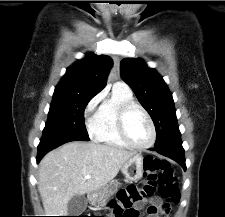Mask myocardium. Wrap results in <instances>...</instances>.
I'll return each instance as SVG.
<instances>
[{
	"instance_id": "myocardium-1",
	"label": "myocardium",
	"mask_w": 225,
	"mask_h": 217,
	"mask_svg": "<svg viewBox=\"0 0 225 217\" xmlns=\"http://www.w3.org/2000/svg\"><path fill=\"white\" fill-rule=\"evenodd\" d=\"M134 109H139L145 115V117L150 125L151 140L146 145H137V144L133 143L128 135L127 128H126V122H127L128 115ZM117 127H118V132H119V135H120V138L122 139V141L128 147H130L132 149L146 150V149L151 148L156 141V128H155L154 122H153L150 114L141 104H139L135 101L125 102L119 107L118 112H117Z\"/></svg>"
}]
</instances>
